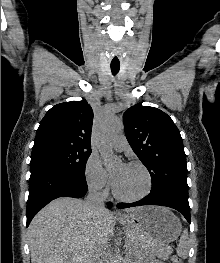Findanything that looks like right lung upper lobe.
<instances>
[{
  "instance_id": "right-lung-upper-lobe-1",
  "label": "right lung upper lobe",
  "mask_w": 220,
  "mask_h": 263,
  "mask_svg": "<svg viewBox=\"0 0 220 263\" xmlns=\"http://www.w3.org/2000/svg\"><path fill=\"white\" fill-rule=\"evenodd\" d=\"M93 110L86 100L60 103L40 122L32 153L49 148L91 149Z\"/></svg>"
}]
</instances>
